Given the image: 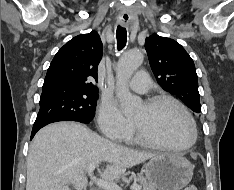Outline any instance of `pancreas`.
Listing matches in <instances>:
<instances>
[{"instance_id": "cf45deb5", "label": "pancreas", "mask_w": 234, "mask_h": 190, "mask_svg": "<svg viewBox=\"0 0 234 190\" xmlns=\"http://www.w3.org/2000/svg\"><path fill=\"white\" fill-rule=\"evenodd\" d=\"M134 182H138L142 190H156V188L147 182V180L143 177L142 174L134 175Z\"/></svg>"}]
</instances>
